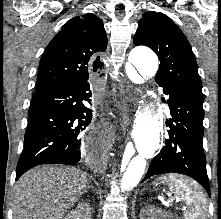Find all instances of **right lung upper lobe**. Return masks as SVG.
Returning a JSON list of instances; mask_svg holds the SVG:
<instances>
[{"mask_svg":"<svg viewBox=\"0 0 221 219\" xmlns=\"http://www.w3.org/2000/svg\"><path fill=\"white\" fill-rule=\"evenodd\" d=\"M107 46L103 21L92 13L69 20L42 55L36 92L88 81L102 69L99 53Z\"/></svg>","mask_w":221,"mask_h":219,"instance_id":"1","label":"right lung upper lobe"}]
</instances>
